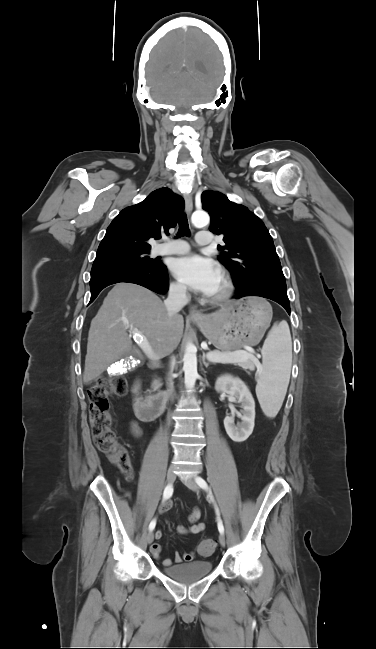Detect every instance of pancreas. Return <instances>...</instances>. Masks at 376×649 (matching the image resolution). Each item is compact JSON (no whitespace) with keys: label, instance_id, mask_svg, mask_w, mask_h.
<instances>
[{"label":"pancreas","instance_id":"pancreas-1","mask_svg":"<svg viewBox=\"0 0 376 649\" xmlns=\"http://www.w3.org/2000/svg\"><path fill=\"white\" fill-rule=\"evenodd\" d=\"M236 352H242V350H238V351H236ZM209 353H221V352L218 351V350H214V351H210ZM257 361H258V360H257ZM257 361H255V360H253V359H248V360H245V361L232 362V363H230V364L237 365V366L243 368L244 370H247V369H248V370H250V371H254V370H255V367H256V365H257ZM161 385H162V384L160 383V380H155V381L153 382V384H152V388H153V389H157V388H159Z\"/></svg>","mask_w":376,"mask_h":649}]
</instances>
